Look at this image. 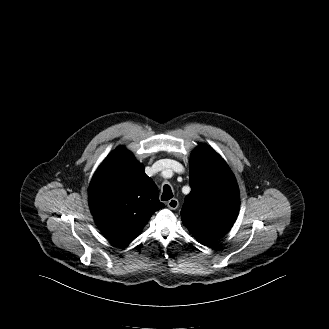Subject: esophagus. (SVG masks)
<instances>
[{"label":"esophagus","mask_w":329,"mask_h":329,"mask_svg":"<svg viewBox=\"0 0 329 329\" xmlns=\"http://www.w3.org/2000/svg\"><path fill=\"white\" fill-rule=\"evenodd\" d=\"M167 206L171 210H175V209L178 208L179 202H178V200L176 198H173V199H171V200L168 201Z\"/></svg>","instance_id":"obj_1"}]
</instances>
